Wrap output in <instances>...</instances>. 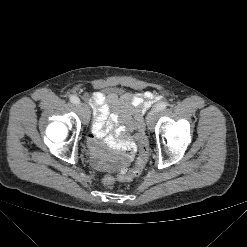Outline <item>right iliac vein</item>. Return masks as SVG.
Here are the masks:
<instances>
[{
    "label": "right iliac vein",
    "mask_w": 247,
    "mask_h": 247,
    "mask_svg": "<svg viewBox=\"0 0 247 247\" xmlns=\"http://www.w3.org/2000/svg\"><path fill=\"white\" fill-rule=\"evenodd\" d=\"M77 109L79 110L81 117L83 119V123L87 124L90 118V112L86 104L79 103L77 104Z\"/></svg>",
    "instance_id": "1"
}]
</instances>
